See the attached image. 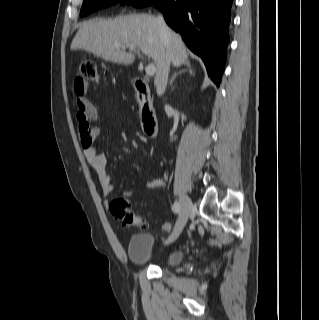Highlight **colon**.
<instances>
[{"instance_id": "colon-1", "label": "colon", "mask_w": 319, "mask_h": 320, "mask_svg": "<svg viewBox=\"0 0 319 320\" xmlns=\"http://www.w3.org/2000/svg\"><path fill=\"white\" fill-rule=\"evenodd\" d=\"M100 81V74L97 63L92 60H85L78 65V76L75 83L78 85H85L86 83H98ZM80 139L84 145H90L95 140V134L92 131L87 118L81 116L79 119ZM111 213L122 220L126 226H140L146 227L144 220L138 216L130 207V203L124 198H117L110 202L109 205ZM163 231H170L172 225L164 223L162 225Z\"/></svg>"}]
</instances>
